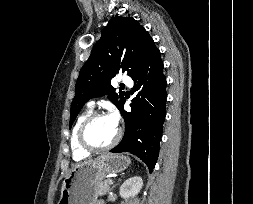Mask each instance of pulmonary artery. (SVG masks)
I'll return each mask as SVG.
<instances>
[{
    "instance_id": "1",
    "label": "pulmonary artery",
    "mask_w": 253,
    "mask_h": 204,
    "mask_svg": "<svg viewBox=\"0 0 253 204\" xmlns=\"http://www.w3.org/2000/svg\"><path fill=\"white\" fill-rule=\"evenodd\" d=\"M119 82H120L121 84H124V85H127V86L132 85V80L130 79L129 76H127V75H125V74L121 75ZM94 104H95L94 100H90V101L88 102V106H89L90 108H92V107L94 106Z\"/></svg>"
}]
</instances>
